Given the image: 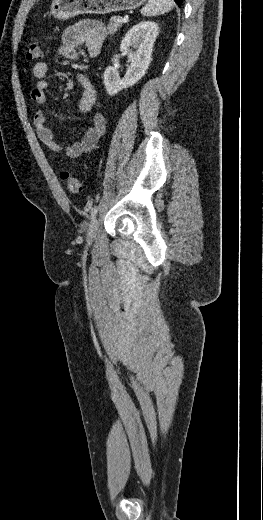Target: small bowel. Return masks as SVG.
<instances>
[{"mask_svg": "<svg viewBox=\"0 0 263 520\" xmlns=\"http://www.w3.org/2000/svg\"><path fill=\"white\" fill-rule=\"evenodd\" d=\"M106 37L105 26L96 20H83L68 27L62 34L61 43L57 48L59 57L75 60L77 49L86 47L91 56H97ZM49 66L46 62H38L33 67V76L37 82L31 91V100L37 105H44L47 100L46 91L49 88L47 79ZM77 80L83 92L78 103L79 111L89 112L96 101L97 91L89 79L82 73L77 74ZM33 125L40 142L50 151L70 159H76L93 150L102 137L106 124L101 114L92 117V123L85 135L71 145L58 142L53 130L46 126V116L43 110H36L33 115Z\"/></svg>", "mask_w": 263, "mask_h": 520, "instance_id": "obj_1", "label": "small bowel"}]
</instances>
